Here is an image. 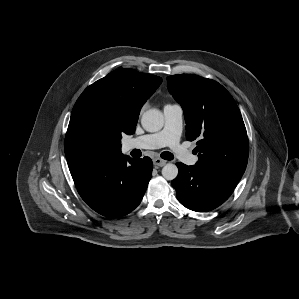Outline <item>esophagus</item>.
I'll list each match as a JSON object with an SVG mask.
<instances>
[{
	"mask_svg": "<svg viewBox=\"0 0 299 299\" xmlns=\"http://www.w3.org/2000/svg\"><path fill=\"white\" fill-rule=\"evenodd\" d=\"M167 163L166 160H163L161 158H154L153 159V164L156 166V167H162L164 166L165 164Z\"/></svg>",
	"mask_w": 299,
	"mask_h": 299,
	"instance_id": "1",
	"label": "esophagus"
}]
</instances>
